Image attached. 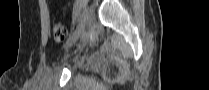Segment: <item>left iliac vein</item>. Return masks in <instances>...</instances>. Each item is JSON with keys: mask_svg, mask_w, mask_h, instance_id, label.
<instances>
[{"mask_svg": "<svg viewBox=\"0 0 209 90\" xmlns=\"http://www.w3.org/2000/svg\"><path fill=\"white\" fill-rule=\"evenodd\" d=\"M91 12L89 7H86L83 11L81 19L77 21V29H73V36L67 41L65 48H70L74 43L75 39H80V37L87 32L86 22L90 19Z\"/></svg>", "mask_w": 209, "mask_h": 90, "instance_id": "4c4485c4", "label": "left iliac vein"}]
</instances>
